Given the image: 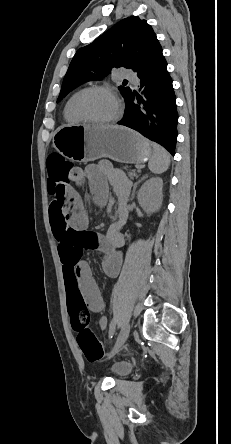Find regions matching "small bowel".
Masks as SVG:
<instances>
[{
    "label": "small bowel",
    "instance_id": "small-bowel-1",
    "mask_svg": "<svg viewBox=\"0 0 231 444\" xmlns=\"http://www.w3.org/2000/svg\"><path fill=\"white\" fill-rule=\"evenodd\" d=\"M71 182L80 187L88 182L90 192L98 204L106 201L110 187L115 192L118 200L117 218L104 234L88 229V217ZM128 193L127 179L108 163L102 162L79 170V174L71 178L67 188L60 193V198L54 199L49 208L50 226L58 242L66 289L78 291L87 307L95 313L101 312L105 303L89 265L82 260V252L85 249L100 251L103 254L104 273L110 277L118 274L122 262L120 248L124 245L121 229L127 216L125 203ZM99 326L106 329L107 319L104 316L99 319Z\"/></svg>",
    "mask_w": 231,
    "mask_h": 444
}]
</instances>
